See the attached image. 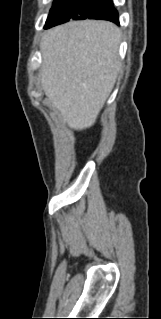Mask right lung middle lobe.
<instances>
[{
	"label": "right lung middle lobe",
	"mask_w": 161,
	"mask_h": 319,
	"mask_svg": "<svg viewBox=\"0 0 161 319\" xmlns=\"http://www.w3.org/2000/svg\"><path fill=\"white\" fill-rule=\"evenodd\" d=\"M100 2L101 0H54L44 28L65 23L70 19H86Z\"/></svg>",
	"instance_id": "obj_1"
}]
</instances>
